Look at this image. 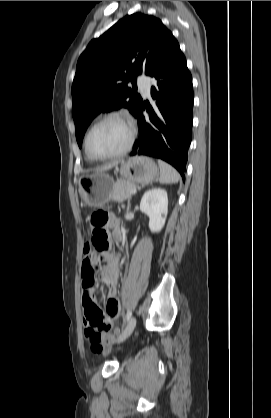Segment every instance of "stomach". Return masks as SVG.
Here are the masks:
<instances>
[{
    "mask_svg": "<svg viewBox=\"0 0 271 418\" xmlns=\"http://www.w3.org/2000/svg\"><path fill=\"white\" fill-rule=\"evenodd\" d=\"M121 176L134 184H148L158 176V167L155 162L144 156L130 158L121 162L118 168ZM113 179L101 172L83 177L79 181V193L85 205L101 207L111 197L113 192Z\"/></svg>",
    "mask_w": 271,
    "mask_h": 418,
    "instance_id": "stomach-1",
    "label": "stomach"
}]
</instances>
